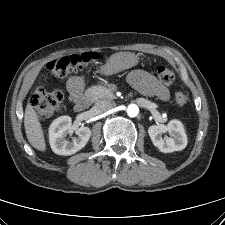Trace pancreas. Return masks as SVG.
<instances>
[{
    "mask_svg": "<svg viewBox=\"0 0 225 225\" xmlns=\"http://www.w3.org/2000/svg\"><path fill=\"white\" fill-rule=\"evenodd\" d=\"M86 94L93 99L113 98V93L104 86H92L87 89Z\"/></svg>",
    "mask_w": 225,
    "mask_h": 225,
    "instance_id": "1",
    "label": "pancreas"
}]
</instances>
